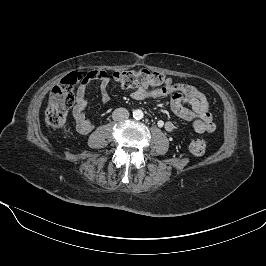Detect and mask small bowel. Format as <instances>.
Here are the masks:
<instances>
[{
    "mask_svg": "<svg viewBox=\"0 0 266 266\" xmlns=\"http://www.w3.org/2000/svg\"><path fill=\"white\" fill-rule=\"evenodd\" d=\"M88 80H98L100 82V96L103 103L110 101L108 86L110 78L102 70H94L87 74ZM171 96V108L180 118L193 124V128L198 133L212 132L215 129L212 114L209 110L208 102L203 93L193 85L180 83L172 86L155 88L148 90L145 87H138L131 93L135 100H145L150 98H160ZM88 101L85 93V85L79 87L76 93L75 105L72 115L76 124V130L80 134H88L93 130V124L86 118L85 109ZM166 131L174 130V124L167 121L164 125Z\"/></svg>",
    "mask_w": 266,
    "mask_h": 266,
    "instance_id": "small-bowel-1",
    "label": "small bowel"
}]
</instances>
